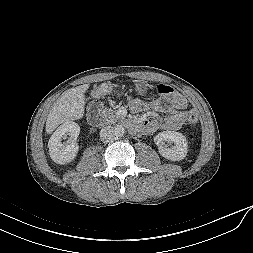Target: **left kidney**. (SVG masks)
Listing matches in <instances>:
<instances>
[{
	"label": "left kidney",
	"mask_w": 253,
	"mask_h": 253,
	"mask_svg": "<svg viewBox=\"0 0 253 253\" xmlns=\"http://www.w3.org/2000/svg\"><path fill=\"white\" fill-rule=\"evenodd\" d=\"M166 141L174 143V146L167 147L165 145ZM154 142L158 146L160 155L168 160L179 161L187 155L188 141L182 133L163 131L154 137Z\"/></svg>",
	"instance_id": "obj_1"
}]
</instances>
